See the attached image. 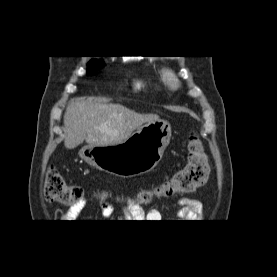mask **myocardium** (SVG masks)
<instances>
[{
    "label": "myocardium",
    "instance_id": "f54148a6",
    "mask_svg": "<svg viewBox=\"0 0 277 277\" xmlns=\"http://www.w3.org/2000/svg\"><path fill=\"white\" fill-rule=\"evenodd\" d=\"M161 78L165 85L170 89H176L179 85V80L177 79L174 71L170 68H164L161 71Z\"/></svg>",
    "mask_w": 277,
    "mask_h": 277
}]
</instances>
